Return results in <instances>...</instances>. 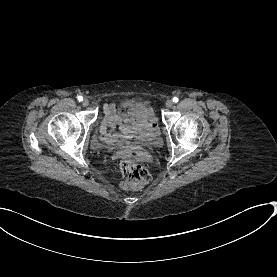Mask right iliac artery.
Segmentation results:
<instances>
[{
    "mask_svg": "<svg viewBox=\"0 0 277 277\" xmlns=\"http://www.w3.org/2000/svg\"><path fill=\"white\" fill-rule=\"evenodd\" d=\"M78 101H79V102L83 101V97H82V96H79V97H78Z\"/></svg>",
    "mask_w": 277,
    "mask_h": 277,
    "instance_id": "right-iliac-artery-1",
    "label": "right iliac artery"
}]
</instances>
